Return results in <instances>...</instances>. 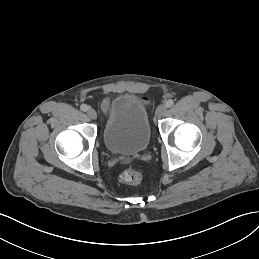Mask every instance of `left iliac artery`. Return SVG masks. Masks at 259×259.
Returning a JSON list of instances; mask_svg holds the SVG:
<instances>
[{"label":"left iliac artery","mask_w":259,"mask_h":259,"mask_svg":"<svg viewBox=\"0 0 259 259\" xmlns=\"http://www.w3.org/2000/svg\"><path fill=\"white\" fill-rule=\"evenodd\" d=\"M173 104H174V100L169 99V100L166 101V104H165V105H166V107L169 108V107L173 106Z\"/></svg>","instance_id":"obj_1"}]
</instances>
